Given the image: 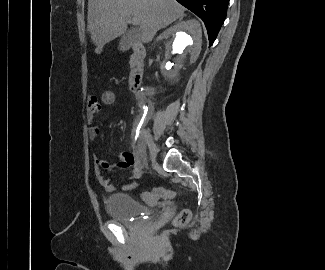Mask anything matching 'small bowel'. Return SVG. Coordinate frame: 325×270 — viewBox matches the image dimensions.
I'll use <instances>...</instances> for the list:
<instances>
[{"mask_svg":"<svg viewBox=\"0 0 325 270\" xmlns=\"http://www.w3.org/2000/svg\"><path fill=\"white\" fill-rule=\"evenodd\" d=\"M103 96V94L101 95ZM115 96V94H114ZM114 103H101L97 97H90L87 102V122L90 125L89 128V138L94 140L100 136L101 130L98 126L93 125L94 115L98 113L101 109V105H113ZM94 164H95V171L97 173V179L99 183L106 189L108 192H113L117 189L122 191H130L136 188L137 184L134 180L138 179L142 172L141 169L135 167V156L131 152H121L117 157V163L112 165L108 160L94 155L93 157ZM133 167V171L130 177V182L123 183L119 187L113 185L110 179L105 176L102 171H112L113 169L125 170Z\"/></svg>","mask_w":325,"mask_h":270,"instance_id":"c3829d8e","label":"small bowel"}]
</instances>
